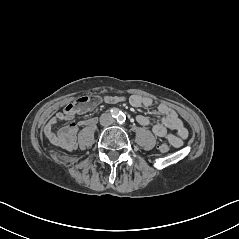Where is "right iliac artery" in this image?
I'll return each mask as SVG.
<instances>
[{
  "mask_svg": "<svg viewBox=\"0 0 239 239\" xmlns=\"http://www.w3.org/2000/svg\"><path fill=\"white\" fill-rule=\"evenodd\" d=\"M111 113H112V116H113L114 118H118L119 115H120V112H119V110H118L117 108H112V109H111Z\"/></svg>",
  "mask_w": 239,
  "mask_h": 239,
  "instance_id": "right-iliac-artery-1",
  "label": "right iliac artery"
}]
</instances>
